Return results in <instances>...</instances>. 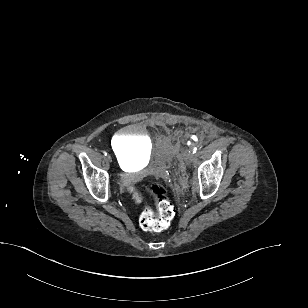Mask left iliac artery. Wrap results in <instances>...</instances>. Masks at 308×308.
Here are the masks:
<instances>
[{
	"label": "left iliac artery",
	"mask_w": 308,
	"mask_h": 308,
	"mask_svg": "<svg viewBox=\"0 0 308 308\" xmlns=\"http://www.w3.org/2000/svg\"><path fill=\"white\" fill-rule=\"evenodd\" d=\"M192 152H193V153H196V152H197V148L194 147V148L192 149Z\"/></svg>",
	"instance_id": "obj_1"
}]
</instances>
